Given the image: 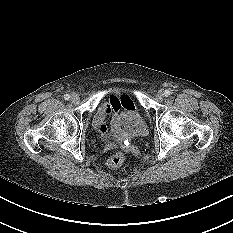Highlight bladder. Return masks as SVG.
I'll return each mask as SVG.
<instances>
[{
	"label": "bladder",
	"mask_w": 233,
	"mask_h": 233,
	"mask_svg": "<svg viewBox=\"0 0 233 233\" xmlns=\"http://www.w3.org/2000/svg\"><path fill=\"white\" fill-rule=\"evenodd\" d=\"M148 127L138 111H125L119 114L111 124L110 133L118 139L135 138L146 135Z\"/></svg>",
	"instance_id": "obj_1"
}]
</instances>
